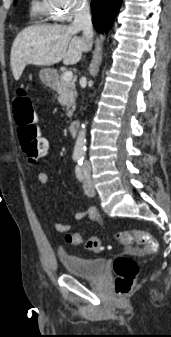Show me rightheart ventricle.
Here are the masks:
<instances>
[{"instance_id":"right-heart-ventricle-1","label":"right heart ventricle","mask_w":171,"mask_h":337,"mask_svg":"<svg viewBox=\"0 0 171 337\" xmlns=\"http://www.w3.org/2000/svg\"><path fill=\"white\" fill-rule=\"evenodd\" d=\"M32 13L38 16H48L49 11L47 7V1L46 0H34L32 7H31Z\"/></svg>"}]
</instances>
